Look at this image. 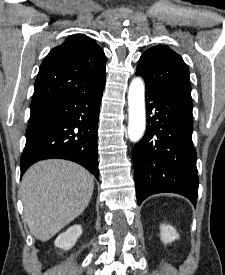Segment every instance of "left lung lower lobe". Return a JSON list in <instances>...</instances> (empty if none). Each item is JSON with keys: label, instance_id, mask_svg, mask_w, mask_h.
Here are the masks:
<instances>
[{"label": "left lung lower lobe", "instance_id": "1", "mask_svg": "<svg viewBox=\"0 0 225 275\" xmlns=\"http://www.w3.org/2000/svg\"><path fill=\"white\" fill-rule=\"evenodd\" d=\"M192 108L146 84L147 128L133 151L138 204L152 194L173 192L196 205L199 181Z\"/></svg>", "mask_w": 225, "mask_h": 275}]
</instances>
